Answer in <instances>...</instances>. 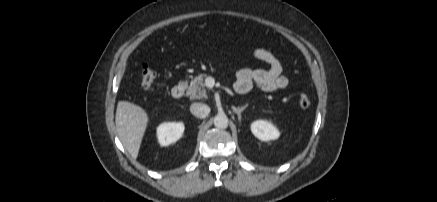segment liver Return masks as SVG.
<instances>
[{"label":"liver","instance_id":"liver-1","mask_svg":"<svg viewBox=\"0 0 437 202\" xmlns=\"http://www.w3.org/2000/svg\"><path fill=\"white\" fill-rule=\"evenodd\" d=\"M149 122L147 112L128 101H119L115 123L117 134L124 148L136 159Z\"/></svg>","mask_w":437,"mask_h":202}]
</instances>
